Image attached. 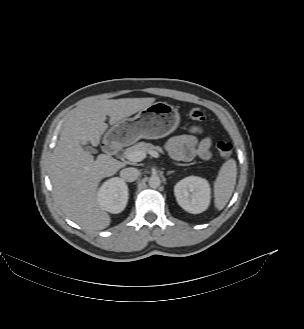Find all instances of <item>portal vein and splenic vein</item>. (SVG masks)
<instances>
[{"mask_svg": "<svg viewBox=\"0 0 304 329\" xmlns=\"http://www.w3.org/2000/svg\"><path fill=\"white\" fill-rule=\"evenodd\" d=\"M152 157L158 158L159 154L157 151L151 150L148 152ZM146 157V153L143 151H131L125 154V158L131 162H140Z\"/></svg>", "mask_w": 304, "mask_h": 329, "instance_id": "obj_1", "label": "portal vein and splenic vein"}]
</instances>
